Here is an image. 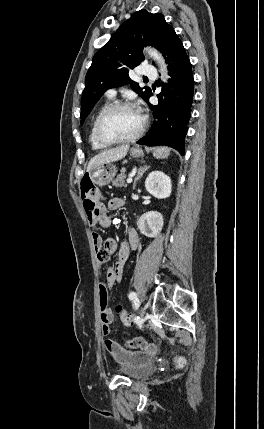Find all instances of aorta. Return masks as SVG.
I'll use <instances>...</instances> for the list:
<instances>
[{
    "label": "aorta",
    "instance_id": "1",
    "mask_svg": "<svg viewBox=\"0 0 264 429\" xmlns=\"http://www.w3.org/2000/svg\"><path fill=\"white\" fill-rule=\"evenodd\" d=\"M147 52L150 55V57H152L159 65H161V69L164 73L165 78H168L166 65L164 64V60H163L162 55L157 50H155L153 48H149L147 50Z\"/></svg>",
    "mask_w": 264,
    "mask_h": 429
}]
</instances>
